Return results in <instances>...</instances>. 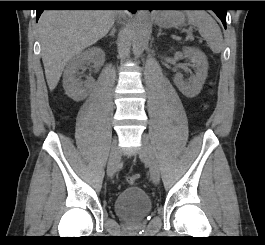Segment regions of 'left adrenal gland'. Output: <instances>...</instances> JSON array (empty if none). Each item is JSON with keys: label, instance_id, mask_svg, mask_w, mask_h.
Listing matches in <instances>:
<instances>
[{"label": "left adrenal gland", "instance_id": "obj_1", "mask_svg": "<svg viewBox=\"0 0 265 245\" xmlns=\"http://www.w3.org/2000/svg\"><path fill=\"white\" fill-rule=\"evenodd\" d=\"M164 33H162V30L161 29H159V32H158V35H157V37H159V36H161V35H163Z\"/></svg>", "mask_w": 265, "mask_h": 245}]
</instances>
